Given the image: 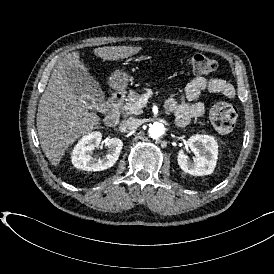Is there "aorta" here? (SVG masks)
<instances>
[{
    "mask_svg": "<svg viewBox=\"0 0 274 274\" xmlns=\"http://www.w3.org/2000/svg\"><path fill=\"white\" fill-rule=\"evenodd\" d=\"M149 136L153 139L161 137L165 132V127L161 122L155 121L149 124Z\"/></svg>",
    "mask_w": 274,
    "mask_h": 274,
    "instance_id": "762f6f07",
    "label": "aorta"
}]
</instances>
